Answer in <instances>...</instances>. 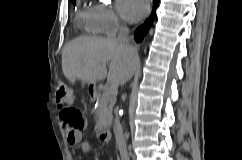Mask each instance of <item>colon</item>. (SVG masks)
Segmentation results:
<instances>
[{"label": "colon", "mask_w": 242, "mask_h": 160, "mask_svg": "<svg viewBox=\"0 0 242 160\" xmlns=\"http://www.w3.org/2000/svg\"><path fill=\"white\" fill-rule=\"evenodd\" d=\"M72 93L65 81H59L56 87V104L62 108L61 117L72 129L80 130L84 125V117L80 110L71 107Z\"/></svg>", "instance_id": "5ec220e1"}]
</instances>
